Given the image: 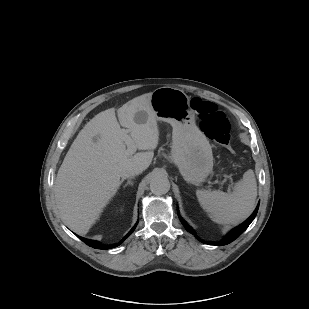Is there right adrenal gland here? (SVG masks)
Returning <instances> with one entry per match:
<instances>
[{
    "mask_svg": "<svg viewBox=\"0 0 309 309\" xmlns=\"http://www.w3.org/2000/svg\"><path fill=\"white\" fill-rule=\"evenodd\" d=\"M134 178H135L134 176L130 177V178L127 180V183L123 186V188L127 187L128 185L133 186L132 179H134Z\"/></svg>",
    "mask_w": 309,
    "mask_h": 309,
    "instance_id": "2a0ac1e0",
    "label": "right adrenal gland"
}]
</instances>
